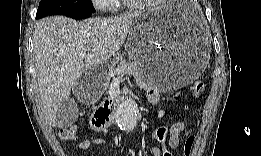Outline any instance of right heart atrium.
<instances>
[{"mask_svg":"<svg viewBox=\"0 0 261 156\" xmlns=\"http://www.w3.org/2000/svg\"><path fill=\"white\" fill-rule=\"evenodd\" d=\"M96 5L103 10L113 11L116 8V2L112 0L97 1Z\"/></svg>","mask_w":261,"mask_h":156,"instance_id":"1","label":"right heart atrium"}]
</instances>
